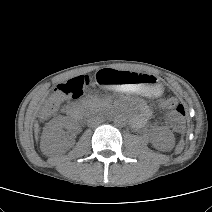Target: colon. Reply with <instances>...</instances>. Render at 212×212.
Segmentation results:
<instances>
[{
    "instance_id": "obj_1",
    "label": "colon",
    "mask_w": 212,
    "mask_h": 212,
    "mask_svg": "<svg viewBox=\"0 0 212 212\" xmlns=\"http://www.w3.org/2000/svg\"><path fill=\"white\" fill-rule=\"evenodd\" d=\"M94 77L90 75H80L66 82L58 84L48 102L44 105L42 114L48 116L52 114L66 98H78L93 84ZM161 105L169 110L170 118L179 126L186 115L184 104L175 97H167L161 100Z\"/></svg>"
}]
</instances>
